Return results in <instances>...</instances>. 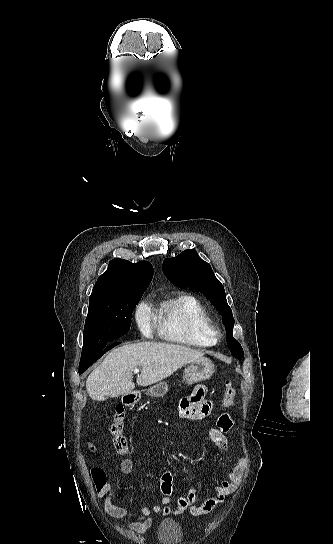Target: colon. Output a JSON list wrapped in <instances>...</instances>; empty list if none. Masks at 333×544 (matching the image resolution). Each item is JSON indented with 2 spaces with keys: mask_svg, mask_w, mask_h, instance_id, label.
I'll use <instances>...</instances> for the list:
<instances>
[{
  "mask_svg": "<svg viewBox=\"0 0 333 544\" xmlns=\"http://www.w3.org/2000/svg\"><path fill=\"white\" fill-rule=\"evenodd\" d=\"M236 391L230 382L225 383V391L222 398V406L228 408L232 405ZM110 434L116 452L124 455L128 452V441L125 436V413L122 407L116 408L110 425ZM91 475L97 489L106 483V475L103 469L93 468Z\"/></svg>",
  "mask_w": 333,
  "mask_h": 544,
  "instance_id": "5ec220e1",
  "label": "colon"
}]
</instances>
